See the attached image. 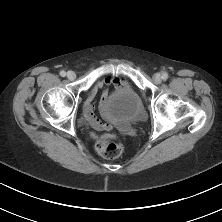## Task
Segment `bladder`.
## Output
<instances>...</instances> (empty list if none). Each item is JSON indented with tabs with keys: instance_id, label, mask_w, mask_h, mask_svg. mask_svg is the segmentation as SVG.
Returning a JSON list of instances; mask_svg holds the SVG:
<instances>
[{
	"instance_id": "bladder-1",
	"label": "bladder",
	"mask_w": 222,
	"mask_h": 222,
	"mask_svg": "<svg viewBox=\"0 0 222 222\" xmlns=\"http://www.w3.org/2000/svg\"><path fill=\"white\" fill-rule=\"evenodd\" d=\"M105 115L118 122L137 124L145 121L146 113L139 94L132 88L112 93L105 106Z\"/></svg>"
}]
</instances>
